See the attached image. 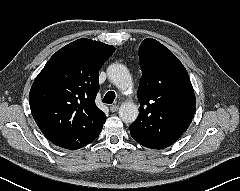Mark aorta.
<instances>
[{
    "mask_svg": "<svg viewBox=\"0 0 240 191\" xmlns=\"http://www.w3.org/2000/svg\"><path fill=\"white\" fill-rule=\"evenodd\" d=\"M107 75L112 82L121 91H127L132 87V78L126 66L113 63L107 69ZM119 117L126 123H133L139 114L138 107L133 102H124L119 108Z\"/></svg>",
    "mask_w": 240,
    "mask_h": 191,
    "instance_id": "aorta-1",
    "label": "aorta"
}]
</instances>
